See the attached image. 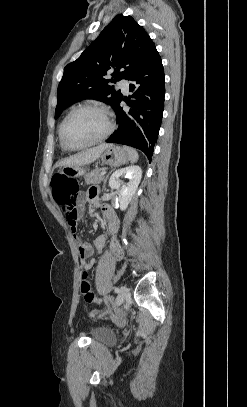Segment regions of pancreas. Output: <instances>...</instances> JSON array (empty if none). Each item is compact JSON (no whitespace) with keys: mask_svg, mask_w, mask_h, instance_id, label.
I'll return each instance as SVG.
<instances>
[{"mask_svg":"<svg viewBox=\"0 0 247 407\" xmlns=\"http://www.w3.org/2000/svg\"><path fill=\"white\" fill-rule=\"evenodd\" d=\"M103 171L101 168H96L85 176L86 184H98L105 180L104 175L101 176L100 173Z\"/></svg>","mask_w":247,"mask_h":407,"instance_id":"cf45deb5","label":"pancreas"}]
</instances>
